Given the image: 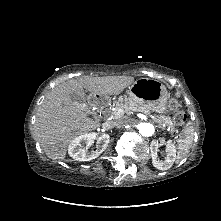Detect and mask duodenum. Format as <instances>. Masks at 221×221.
<instances>
[{
  "mask_svg": "<svg viewBox=\"0 0 221 221\" xmlns=\"http://www.w3.org/2000/svg\"><path fill=\"white\" fill-rule=\"evenodd\" d=\"M104 95H99V96H97V97H90L89 98V104H91V105H93V104H96V103H98V102H101V100H103L104 99Z\"/></svg>",
  "mask_w": 221,
  "mask_h": 221,
  "instance_id": "duodenum-1",
  "label": "duodenum"
}]
</instances>
